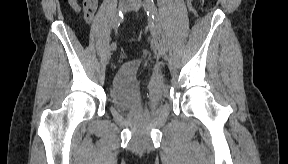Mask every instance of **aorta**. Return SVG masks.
Segmentation results:
<instances>
[{"mask_svg": "<svg viewBox=\"0 0 288 164\" xmlns=\"http://www.w3.org/2000/svg\"><path fill=\"white\" fill-rule=\"evenodd\" d=\"M143 6L146 10H149V8H154V2L153 0H144Z\"/></svg>", "mask_w": 288, "mask_h": 164, "instance_id": "1", "label": "aorta"}]
</instances>
